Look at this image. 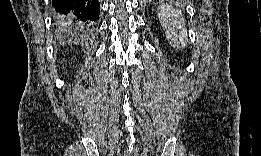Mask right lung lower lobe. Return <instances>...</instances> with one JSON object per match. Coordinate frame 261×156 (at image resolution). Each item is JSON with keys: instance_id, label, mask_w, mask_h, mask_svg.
I'll return each instance as SVG.
<instances>
[{"instance_id": "right-lung-lower-lobe-1", "label": "right lung lower lobe", "mask_w": 261, "mask_h": 156, "mask_svg": "<svg viewBox=\"0 0 261 156\" xmlns=\"http://www.w3.org/2000/svg\"><path fill=\"white\" fill-rule=\"evenodd\" d=\"M55 18L62 27H87L99 16L97 0H52Z\"/></svg>"}]
</instances>
